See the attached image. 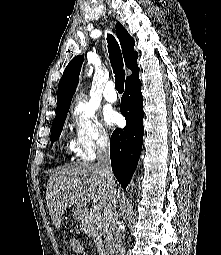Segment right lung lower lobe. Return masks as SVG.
Masks as SVG:
<instances>
[{
	"label": "right lung lower lobe",
	"instance_id": "obj_1",
	"mask_svg": "<svg viewBox=\"0 0 221 255\" xmlns=\"http://www.w3.org/2000/svg\"><path fill=\"white\" fill-rule=\"evenodd\" d=\"M120 111L125 116L126 126L113 132L110 140V157L115 177L126 188L136 169L144 134L139 70L126 80Z\"/></svg>",
	"mask_w": 221,
	"mask_h": 255
}]
</instances>
